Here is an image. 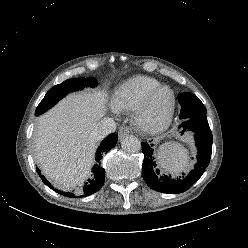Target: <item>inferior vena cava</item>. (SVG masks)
I'll return each instance as SVG.
<instances>
[{
  "label": "inferior vena cava",
  "mask_w": 248,
  "mask_h": 248,
  "mask_svg": "<svg viewBox=\"0 0 248 248\" xmlns=\"http://www.w3.org/2000/svg\"><path fill=\"white\" fill-rule=\"evenodd\" d=\"M116 130V123L113 118L104 117L95 126L92 136L96 140H100Z\"/></svg>",
  "instance_id": "1"
}]
</instances>
